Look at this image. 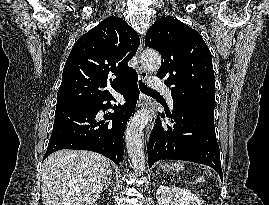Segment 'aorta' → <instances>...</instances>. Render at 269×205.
<instances>
[{
	"label": "aorta",
	"instance_id": "obj_1",
	"mask_svg": "<svg viewBox=\"0 0 269 205\" xmlns=\"http://www.w3.org/2000/svg\"><path fill=\"white\" fill-rule=\"evenodd\" d=\"M142 65L148 71L156 72L161 66V56L153 50H146L141 57ZM151 119L148 109L136 113L128 123L126 129V148L135 171L145 169L144 134L143 129Z\"/></svg>",
	"mask_w": 269,
	"mask_h": 205
}]
</instances>
